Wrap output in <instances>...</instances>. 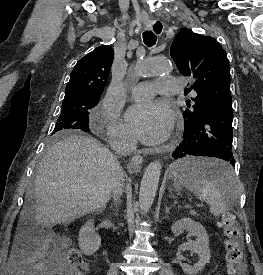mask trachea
<instances>
[{"label": "trachea", "mask_w": 263, "mask_h": 275, "mask_svg": "<svg viewBox=\"0 0 263 275\" xmlns=\"http://www.w3.org/2000/svg\"><path fill=\"white\" fill-rule=\"evenodd\" d=\"M143 41L145 45L151 47L155 45L157 37L152 31L146 30L143 32Z\"/></svg>", "instance_id": "obj_1"}]
</instances>
